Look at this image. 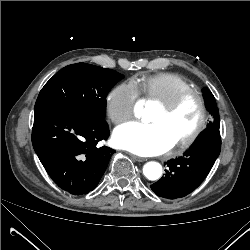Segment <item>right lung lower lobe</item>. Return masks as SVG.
Returning <instances> with one entry per match:
<instances>
[{"label": "right lung lower lobe", "mask_w": 250, "mask_h": 250, "mask_svg": "<svg viewBox=\"0 0 250 250\" xmlns=\"http://www.w3.org/2000/svg\"><path fill=\"white\" fill-rule=\"evenodd\" d=\"M104 119L59 109L35 111L32 144L49 176L70 194L93 190L115 150L97 143L106 140Z\"/></svg>", "instance_id": "1"}]
</instances>
